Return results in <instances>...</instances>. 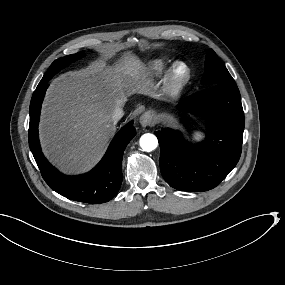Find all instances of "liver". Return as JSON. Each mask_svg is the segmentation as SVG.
I'll list each match as a JSON object with an SVG mask.
<instances>
[{"label": "liver", "instance_id": "6515ba94", "mask_svg": "<svg viewBox=\"0 0 285 285\" xmlns=\"http://www.w3.org/2000/svg\"><path fill=\"white\" fill-rule=\"evenodd\" d=\"M152 87L131 52L113 67L96 60L53 79L39 125L45 155L65 173L88 170L116 130L114 110L123 107L132 94H150Z\"/></svg>", "mask_w": 285, "mask_h": 285}]
</instances>
